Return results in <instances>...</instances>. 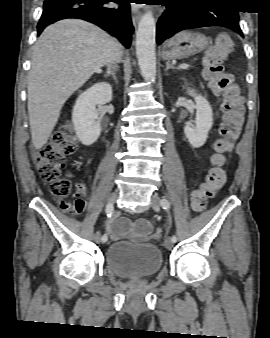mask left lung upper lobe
Listing matches in <instances>:
<instances>
[{
  "instance_id": "left-lung-upper-lobe-1",
  "label": "left lung upper lobe",
  "mask_w": 270,
  "mask_h": 338,
  "mask_svg": "<svg viewBox=\"0 0 270 338\" xmlns=\"http://www.w3.org/2000/svg\"><path fill=\"white\" fill-rule=\"evenodd\" d=\"M210 1H214V2H222V0H210Z\"/></svg>"
}]
</instances>
